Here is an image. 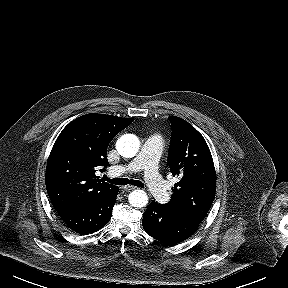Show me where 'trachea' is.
I'll list each match as a JSON object with an SVG mask.
<instances>
[{
	"instance_id": "3493384b",
	"label": "trachea",
	"mask_w": 288,
	"mask_h": 288,
	"mask_svg": "<svg viewBox=\"0 0 288 288\" xmlns=\"http://www.w3.org/2000/svg\"><path fill=\"white\" fill-rule=\"evenodd\" d=\"M104 179L111 183V184H115V185H127V184H131V185H134V186H137V187H141L143 188L144 187V184L139 181V180H129V179H126V178H116V179H110L108 178L107 176H104Z\"/></svg>"
}]
</instances>
